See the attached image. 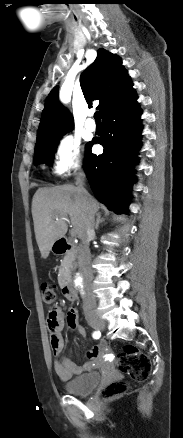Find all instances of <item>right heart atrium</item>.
I'll list each match as a JSON object with an SVG mask.
<instances>
[{"mask_svg": "<svg viewBox=\"0 0 183 438\" xmlns=\"http://www.w3.org/2000/svg\"><path fill=\"white\" fill-rule=\"evenodd\" d=\"M82 167L80 140L68 133L60 137L54 152L53 172L63 176L79 170Z\"/></svg>", "mask_w": 183, "mask_h": 438, "instance_id": "obj_1", "label": "right heart atrium"}]
</instances>
